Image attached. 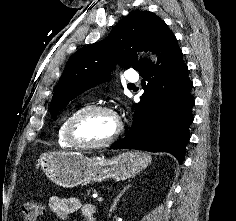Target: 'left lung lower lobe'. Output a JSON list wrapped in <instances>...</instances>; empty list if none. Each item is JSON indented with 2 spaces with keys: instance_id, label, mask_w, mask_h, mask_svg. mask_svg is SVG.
Wrapping results in <instances>:
<instances>
[{
  "instance_id": "0a47b994",
  "label": "left lung lower lobe",
  "mask_w": 236,
  "mask_h": 221,
  "mask_svg": "<svg viewBox=\"0 0 236 221\" xmlns=\"http://www.w3.org/2000/svg\"><path fill=\"white\" fill-rule=\"evenodd\" d=\"M153 53L161 65L147 61L139 69L144 93L136 106L130 132L112 149L168 152L182 163L193 121V84L170 30L163 34Z\"/></svg>"
}]
</instances>
